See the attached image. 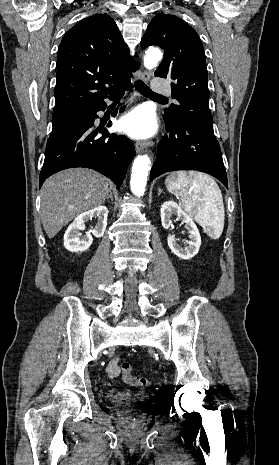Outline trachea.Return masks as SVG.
<instances>
[{"mask_svg":"<svg viewBox=\"0 0 279 465\" xmlns=\"http://www.w3.org/2000/svg\"><path fill=\"white\" fill-rule=\"evenodd\" d=\"M136 89L144 96L156 98V99H167L166 97L153 92L143 81L137 80L135 82Z\"/></svg>","mask_w":279,"mask_h":465,"instance_id":"trachea-1","label":"trachea"}]
</instances>
